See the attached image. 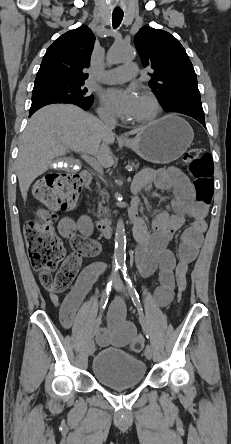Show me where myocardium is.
Here are the masks:
<instances>
[{
  "instance_id": "1",
  "label": "myocardium",
  "mask_w": 231,
  "mask_h": 444,
  "mask_svg": "<svg viewBox=\"0 0 231 444\" xmlns=\"http://www.w3.org/2000/svg\"><path fill=\"white\" fill-rule=\"evenodd\" d=\"M140 96L145 98L151 105V112L145 116L132 119V123L145 124L155 120L161 112V105L157 97L149 90L140 91Z\"/></svg>"
}]
</instances>
